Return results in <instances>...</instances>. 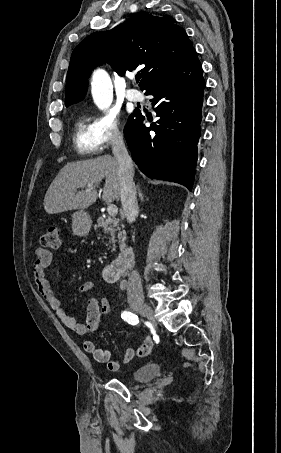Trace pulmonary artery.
<instances>
[{"instance_id":"e3ab8cb5","label":"pulmonary artery","mask_w":281,"mask_h":453,"mask_svg":"<svg viewBox=\"0 0 281 453\" xmlns=\"http://www.w3.org/2000/svg\"><path fill=\"white\" fill-rule=\"evenodd\" d=\"M134 78L131 77V80H133ZM125 96L126 98L129 100V101H132V102H142V103H145L147 102V98L145 97V95L140 92L139 90L137 89H134V88H129L126 90L125 92Z\"/></svg>"}]
</instances>
